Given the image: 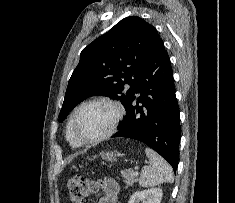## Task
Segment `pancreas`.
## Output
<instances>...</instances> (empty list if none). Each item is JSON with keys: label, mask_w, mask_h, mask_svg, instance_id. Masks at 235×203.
I'll use <instances>...</instances> for the list:
<instances>
[{"label": "pancreas", "mask_w": 235, "mask_h": 203, "mask_svg": "<svg viewBox=\"0 0 235 203\" xmlns=\"http://www.w3.org/2000/svg\"><path fill=\"white\" fill-rule=\"evenodd\" d=\"M122 177L125 179V183L130 186L133 183L137 182V174L133 170H122Z\"/></svg>", "instance_id": "cf45deb5"}]
</instances>
